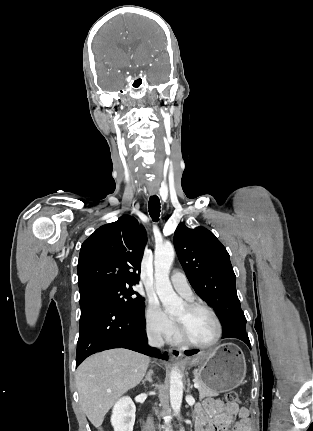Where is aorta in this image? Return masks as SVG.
Returning a JSON list of instances; mask_svg holds the SVG:
<instances>
[{"label": "aorta", "mask_w": 313, "mask_h": 431, "mask_svg": "<svg viewBox=\"0 0 313 431\" xmlns=\"http://www.w3.org/2000/svg\"><path fill=\"white\" fill-rule=\"evenodd\" d=\"M175 256L174 248L167 244L155 250V285L156 292L169 313L178 310L182 304V299L174 292L169 280V272ZM183 397V382L180 371L174 367L170 374V404L177 416H180V409ZM183 431V430H181Z\"/></svg>", "instance_id": "aorta-1"}]
</instances>
